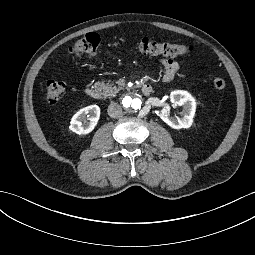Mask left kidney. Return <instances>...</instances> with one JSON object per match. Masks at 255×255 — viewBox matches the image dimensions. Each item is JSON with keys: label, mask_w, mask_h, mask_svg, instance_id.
Returning a JSON list of instances; mask_svg holds the SVG:
<instances>
[{"label": "left kidney", "mask_w": 255, "mask_h": 255, "mask_svg": "<svg viewBox=\"0 0 255 255\" xmlns=\"http://www.w3.org/2000/svg\"><path fill=\"white\" fill-rule=\"evenodd\" d=\"M170 104L173 106H181L183 108L180 119L171 117L169 114L170 107L164 106L160 111V118L170 127L174 129H188L193 121L196 104L191 95L185 91H175L170 94Z\"/></svg>", "instance_id": "1"}]
</instances>
